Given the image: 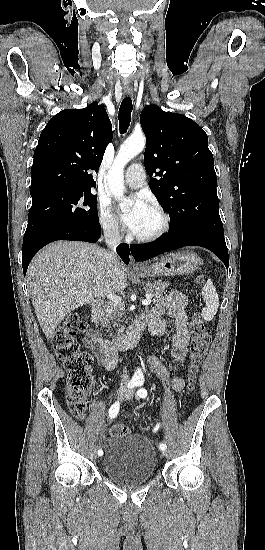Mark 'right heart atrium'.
I'll return each mask as SVG.
<instances>
[{
    "label": "right heart atrium",
    "mask_w": 265,
    "mask_h": 550,
    "mask_svg": "<svg viewBox=\"0 0 265 550\" xmlns=\"http://www.w3.org/2000/svg\"><path fill=\"white\" fill-rule=\"evenodd\" d=\"M99 222L105 234L110 237L120 236L121 227L119 222L106 202L99 204Z\"/></svg>",
    "instance_id": "d8ad5b80"
}]
</instances>
